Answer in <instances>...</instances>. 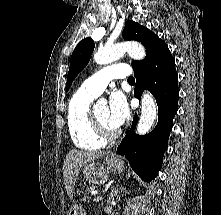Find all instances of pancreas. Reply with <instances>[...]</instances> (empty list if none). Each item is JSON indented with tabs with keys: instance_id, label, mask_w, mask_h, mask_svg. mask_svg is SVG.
Instances as JSON below:
<instances>
[{
	"instance_id": "pancreas-1",
	"label": "pancreas",
	"mask_w": 221,
	"mask_h": 215,
	"mask_svg": "<svg viewBox=\"0 0 221 215\" xmlns=\"http://www.w3.org/2000/svg\"><path fill=\"white\" fill-rule=\"evenodd\" d=\"M95 187L89 186L86 188V190L83 192V196L81 197V201L84 203H89L92 199V195H90V192L93 191Z\"/></svg>"
}]
</instances>
